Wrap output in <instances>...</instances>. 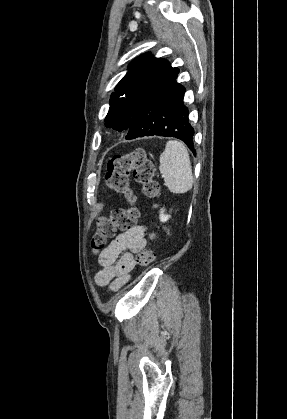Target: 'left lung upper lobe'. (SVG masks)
Wrapping results in <instances>:
<instances>
[{
    "label": "left lung upper lobe",
    "mask_w": 287,
    "mask_h": 419,
    "mask_svg": "<svg viewBox=\"0 0 287 419\" xmlns=\"http://www.w3.org/2000/svg\"><path fill=\"white\" fill-rule=\"evenodd\" d=\"M178 74V68L150 53L134 59L111 95L106 127L128 130L141 105L174 84Z\"/></svg>",
    "instance_id": "5c2ea615"
}]
</instances>
